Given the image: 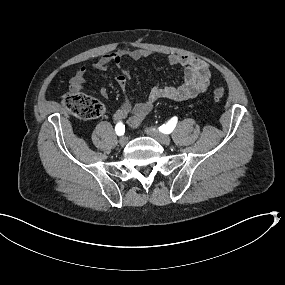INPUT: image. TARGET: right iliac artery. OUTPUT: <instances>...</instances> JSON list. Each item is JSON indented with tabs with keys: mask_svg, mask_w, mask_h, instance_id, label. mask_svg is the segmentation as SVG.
Listing matches in <instances>:
<instances>
[{
	"mask_svg": "<svg viewBox=\"0 0 285 285\" xmlns=\"http://www.w3.org/2000/svg\"><path fill=\"white\" fill-rule=\"evenodd\" d=\"M115 131L117 135H123L125 132V125L122 122L117 123V125L115 126Z\"/></svg>",
	"mask_w": 285,
	"mask_h": 285,
	"instance_id": "obj_1",
	"label": "right iliac artery"
}]
</instances>
